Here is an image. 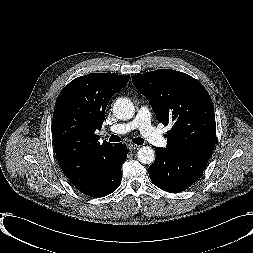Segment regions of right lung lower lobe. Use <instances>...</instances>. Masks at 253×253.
Segmentation results:
<instances>
[{"label":"right lung lower lobe","mask_w":253,"mask_h":253,"mask_svg":"<svg viewBox=\"0 0 253 253\" xmlns=\"http://www.w3.org/2000/svg\"><path fill=\"white\" fill-rule=\"evenodd\" d=\"M126 158L127 147L121 143L115 144L112 156L107 163L95 174L88 185L78 190L94 198L111 194L121 183V167Z\"/></svg>","instance_id":"1"}]
</instances>
